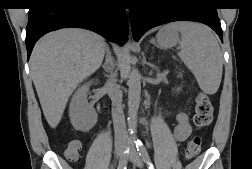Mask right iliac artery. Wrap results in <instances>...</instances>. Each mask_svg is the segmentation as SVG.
I'll return each mask as SVG.
<instances>
[{
	"label": "right iliac artery",
	"instance_id": "82829eb1",
	"mask_svg": "<svg viewBox=\"0 0 252 169\" xmlns=\"http://www.w3.org/2000/svg\"><path fill=\"white\" fill-rule=\"evenodd\" d=\"M128 153H129V148H127L124 151V153L119 161V165H118L117 169H126Z\"/></svg>",
	"mask_w": 252,
	"mask_h": 169
}]
</instances>
